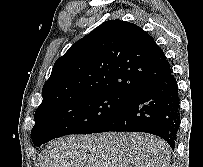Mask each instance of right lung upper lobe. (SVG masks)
<instances>
[{
  "label": "right lung upper lobe",
  "instance_id": "right-lung-upper-lobe-1",
  "mask_svg": "<svg viewBox=\"0 0 203 167\" xmlns=\"http://www.w3.org/2000/svg\"><path fill=\"white\" fill-rule=\"evenodd\" d=\"M170 73L163 51L148 33L133 23L109 20L57 59L36 111L102 92L130 99Z\"/></svg>",
  "mask_w": 203,
  "mask_h": 167
}]
</instances>
